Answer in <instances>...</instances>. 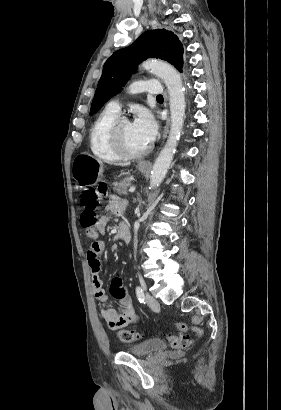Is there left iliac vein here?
I'll use <instances>...</instances> for the list:
<instances>
[{
  "label": "left iliac vein",
  "instance_id": "1",
  "mask_svg": "<svg viewBox=\"0 0 281 410\" xmlns=\"http://www.w3.org/2000/svg\"><path fill=\"white\" fill-rule=\"evenodd\" d=\"M145 302L150 308H158L159 307L158 301L153 296H151L150 294H146Z\"/></svg>",
  "mask_w": 281,
  "mask_h": 410
}]
</instances>
